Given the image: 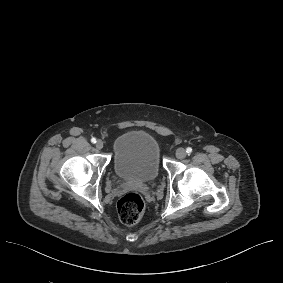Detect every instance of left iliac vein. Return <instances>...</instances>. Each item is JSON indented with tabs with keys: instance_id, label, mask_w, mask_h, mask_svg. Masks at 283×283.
I'll return each instance as SVG.
<instances>
[{
	"instance_id": "1",
	"label": "left iliac vein",
	"mask_w": 283,
	"mask_h": 283,
	"mask_svg": "<svg viewBox=\"0 0 283 283\" xmlns=\"http://www.w3.org/2000/svg\"><path fill=\"white\" fill-rule=\"evenodd\" d=\"M186 155H187V152H186V150H185L184 148H178V149L176 150V156H177V158L183 159V158L186 157Z\"/></svg>"
}]
</instances>
